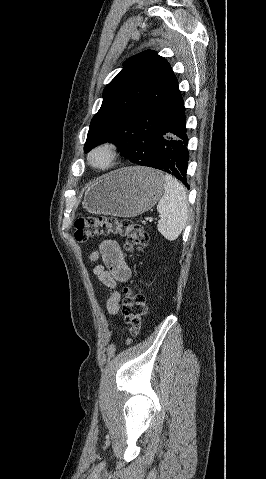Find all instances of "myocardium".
I'll list each match as a JSON object with an SVG mask.
<instances>
[{"label":"myocardium","instance_id":"1","mask_svg":"<svg viewBox=\"0 0 266 479\" xmlns=\"http://www.w3.org/2000/svg\"><path fill=\"white\" fill-rule=\"evenodd\" d=\"M117 157V145L112 142H102L90 150L87 159L94 169L107 171L112 168Z\"/></svg>","mask_w":266,"mask_h":479}]
</instances>
